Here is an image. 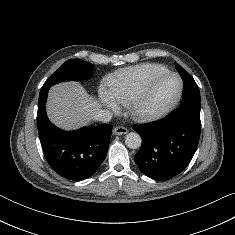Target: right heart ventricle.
<instances>
[{
    "mask_svg": "<svg viewBox=\"0 0 235 235\" xmlns=\"http://www.w3.org/2000/svg\"><path fill=\"white\" fill-rule=\"evenodd\" d=\"M167 71L166 67L152 63L120 69L107 79L108 93L115 102L129 105L150 77Z\"/></svg>",
    "mask_w": 235,
    "mask_h": 235,
    "instance_id": "e07e8e85",
    "label": "right heart ventricle"
}]
</instances>
